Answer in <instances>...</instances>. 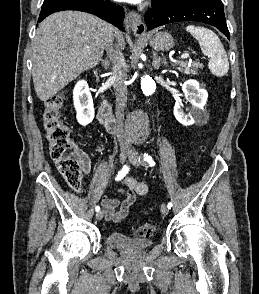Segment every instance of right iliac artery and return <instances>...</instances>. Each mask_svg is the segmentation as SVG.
Wrapping results in <instances>:
<instances>
[{"mask_svg":"<svg viewBox=\"0 0 259 294\" xmlns=\"http://www.w3.org/2000/svg\"><path fill=\"white\" fill-rule=\"evenodd\" d=\"M129 172V166L128 165H124L122 167V169L118 172V175L116 177V180H121L122 178H124V176ZM96 212H98L100 210L99 206L95 207Z\"/></svg>","mask_w":259,"mask_h":294,"instance_id":"82829eb1","label":"right iliac artery"}]
</instances>
